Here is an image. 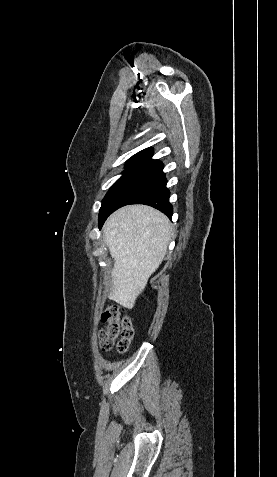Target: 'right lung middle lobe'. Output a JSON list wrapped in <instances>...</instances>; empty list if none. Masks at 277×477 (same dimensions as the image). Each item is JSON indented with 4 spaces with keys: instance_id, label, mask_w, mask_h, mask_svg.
Masks as SVG:
<instances>
[{
    "instance_id": "right-lung-middle-lobe-1",
    "label": "right lung middle lobe",
    "mask_w": 277,
    "mask_h": 477,
    "mask_svg": "<svg viewBox=\"0 0 277 477\" xmlns=\"http://www.w3.org/2000/svg\"><path fill=\"white\" fill-rule=\"evenodd\" d=\"M162 169L126 167L123 175L111 186L102 200L99 211V226L116 209L129 204L146 189L160 174Z\"/></svg>"
}]
</instances>
